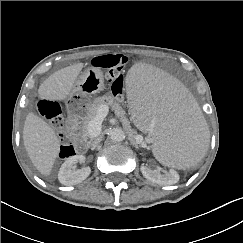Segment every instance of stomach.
Wrapping results in <instances>:
<instances>
[{"mask_svg": "<svg viewBox=\"0 0 243 243\" xmlns=\"http://www.w3.org/2000/svg\"><path fill=\"white\" fill-rule=\"evenodd\" d=\"M105 87L103 72L96 67H89L77 78L72 92L66 99L69 118H77L87 109L88 97L99 93ZM85 106V107H84Z\"/></svg>", "mask_w": 243, "mask_h": 243, "instance_id": "1", "label": "stomach"}]
</instances>
